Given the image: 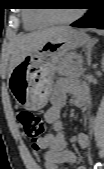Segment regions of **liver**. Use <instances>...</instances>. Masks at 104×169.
<instances>
[{"label":"liver","mask_w":104,"mask_h":169,"mask_svg":"<svg viewBox=\"0 0 104 169\" xmlns=\"http://www.w3.org/2000/svg\"><path fill=\"white\" fill-rule=\"evenodd\" d=\"M68 26L41 29L18 36L13 44L9 63L8 78L13 69L29 54L39 50L47 41L70 30Z\"/></svg>","instance_id":"obj_1"}]
</instances>
